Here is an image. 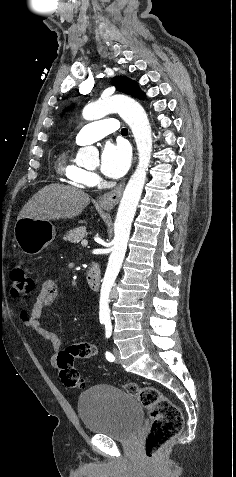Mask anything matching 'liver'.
I'll return each instance as SVG.
<instances>
[{
	"instance_id": "1",
	"label": "liver",
	"mask_w": 236,
	"mask_h": 477,
	"mask_svg": "<svg viewBox=\"0 0 236 477\" xmlns=\"http://www.w3.org/2000/svg\"><path fill=\"white\" fill-rule=\"evenodd\" d=\"M90 202L88 194L72 186L51 184L39 190L22 208L18 220L30 217L40 220L73 219Z\"/></svg>"
}]
</instances>
